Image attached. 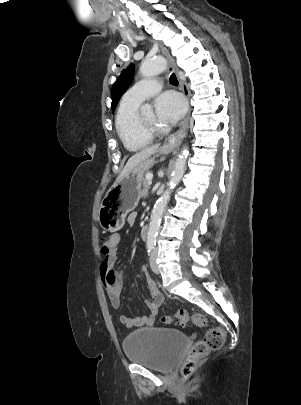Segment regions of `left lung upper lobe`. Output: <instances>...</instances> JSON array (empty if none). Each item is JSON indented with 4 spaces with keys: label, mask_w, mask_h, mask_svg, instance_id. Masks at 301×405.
<instances>
[{
    "label": "left lung upper lobe",
    "mask_w": 301,
    "mask_h": 405,
    "mask_svg": "<svg viewBox=\"0 0 301 405\" xmlns=\"http://www.w3.org/2000/svg\"><path fill=\"white\" fill-rule=\"evenodd\" d=\"M134 65L131 64L124 69L117 81L114 83L112 87V110L114 111L119 99L123 95V93L127 90L129 84L131 83L133 76H134Z\"/></svg>",
    "instance_id": "left-lung-upper-lobe-1"
}]
</instances>
